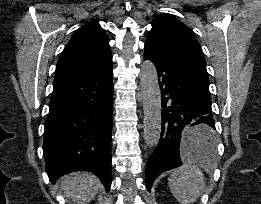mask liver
<instances>
[{
  "instance_id": "liver-1",
  "label": "liver",
  "mask_w": 261,
  "mask_h": 204,
  "mask_svg": "<svg viewBox=\"0 0 261 204\" xmlns=\"http://www.w3.org/2000/svg\"><path fill=\"white\" fill-rule=\"evenodd\" d=\"M60 184L64 196L77 204H87L94 199L100 188L98 178L87 172H78L62 177Z\"/></svg>"
}]
</instances>
